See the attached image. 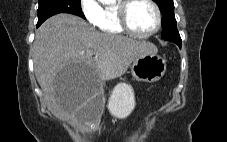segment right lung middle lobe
I'll use <instances>...</instances> for the list:
<instances>
[{
    "label": "right lung middle lobe",
    "mask_w": 227,
    "mask_h": 142,
    "mask_svg": "<svg viewBox=\"0 0 227 142\" xmlns=\"http://www.w3.org/2000/svg\"><path fill=\"white\" fill-rule=\"evenodd\" d=\"M81 0H39L38 23L58 13H70L85 19L81 10Z\"/></svg>",
    "instance_id": "right-lung-middle-lobe-1"
}]
</instances>
